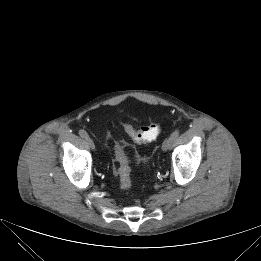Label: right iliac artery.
<instances>
[{
	"label": "right iliac artery",
	"instance_id": "82829eb1",
	"mask_svg": "<svg viewBox=\"0 0 261 261\" xmlns=\"http://www.w3.org/2000/svg\"><path fill=\"white\" fill-rule=\"evenodd\" d=\"M79 135L82 137V138H87L88 137V134L85 130H79Z\"/></svg>",
	"mask_w": 261,
	"mask_h": 261
}]
</instances>
